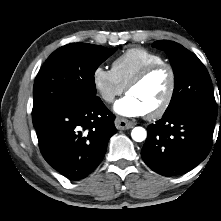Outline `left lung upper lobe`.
<instances>
[{"label": "left lung upper lobe", "instance_id": "1", "mask_svg": "<svg viewBox=\"0 0 221 221\" xmlns=\"http://www.w3.org/2000/svg\"><path fill=\"white\" fill-rule=\"evenodd\" d=\"M153 46L168 53L175 75L173 96L164 114L192 106L217 116L211 79L198 57L173 41L160 40Z\"/></svg>", "mask_w": 221, "mask_h": 221}]
</instances>
